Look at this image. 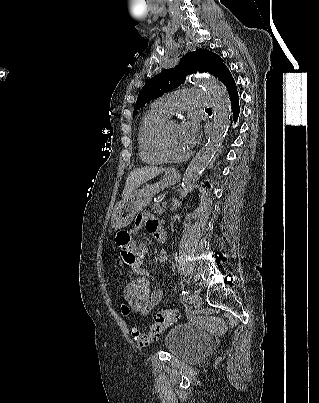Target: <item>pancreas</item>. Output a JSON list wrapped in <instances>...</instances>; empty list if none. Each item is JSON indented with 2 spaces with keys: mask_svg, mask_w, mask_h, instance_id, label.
Returning a JSON list of instances; mask_svg holds the SVG:
<instances>
[{
  "mask_svg": "<svg viewBox=\"0 0 319 403\" xmlns=\"http://www.w3.org/2000/svg\"><path fill=\"white\" fill-rule=\"evenodd\" d=\"M151 210L159 215H162L165 213V206L155 202L154 204H152Z\"/></svg>",
  "mask_w": 319,
  "mask_h": 403,
  "instance_id": "1",
  "label": "pancreas"
}]
</instances>
